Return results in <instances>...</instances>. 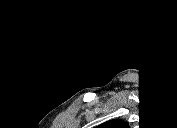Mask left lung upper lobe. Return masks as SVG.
<instances>
[{
  "label": "left lung upper lobe",
  "mask_w": 177,
  "mask_h": 128,
  "mask_svg": "<svg viewBox=\"0 0 177 128\" xmlns=\"http://www.w3.org/2000/svg\"><path fill=\"white\" fill-rule=\"evenodd\" d=\"M103 125H104L103 127H107V128H112V127L125 128V127H127L126 122H124L120 119L107 121Z\"/></svg>",
  "instance_id": "left-lung-upper-lobe-1"
}]
</instances>
